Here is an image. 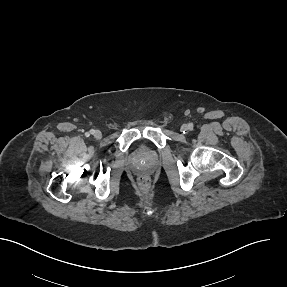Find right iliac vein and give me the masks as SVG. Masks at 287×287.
<instances>
[{"mask_svg": "<svg viewBox=\"0 0 287 287\" xmlns=\"http://www.w3.org/2000/svg\"><path fill=\"white\" fill-rule=\"evenodd\" d=\"M93 136L96 139H101L102 138V133L99 130H96V131H94Z\"/></svg>", "mask_w": 287, "mask_h": 287, "instance_id": "right-iliac-vein-1", "label": "right iliac vein"}]
</instances>
